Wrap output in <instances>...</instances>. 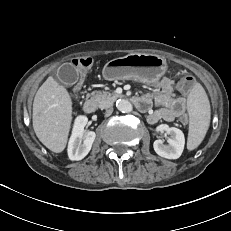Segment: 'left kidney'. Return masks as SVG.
Here are the masks:
<instances>
[{
	"mask_svg": "<svg viewBox=\"0 0 231 231\" xmlns=\"http://www.w3.org/2000/svg\"><path fill=\"white\" fill-rule=\"evenodd\" d=\"M157 131L166 132L170 138H168V145L163 144V140L158 139L153 143L155 152L166 159H177L181 156L184 145L185 137L183 132L175 127H169L166 124H161L156 128Z\"/></svg>",
	"mask_w": 231,
	"mask_h": 231,
	"instance_id": "5707ae66",
	"label": "left kidney"
}]
</instances>
